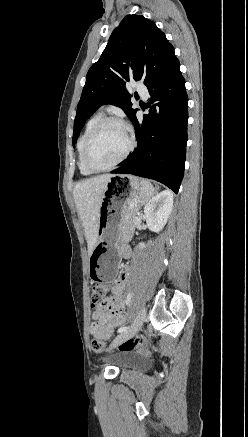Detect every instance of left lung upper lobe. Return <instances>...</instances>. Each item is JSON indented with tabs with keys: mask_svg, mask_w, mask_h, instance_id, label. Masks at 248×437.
<instances>
[{
	"mask_svg": "<svg viewBox=\"0 0 248 437\" xmlns=\"http://www.w3.org/2000/svg\"><path fill=\"white\" fill-rule=\"evenodd\" d=\"M175 58L173 46L153 21L139 15L125 16L87 73L74 121L73 145L85 121L100 105H116L132 121L137 110L132 108L126 82L142 79L148 86Z\"/></svg>",
	"mask_w": 248,
	"mask_h": 437,
	"instance_id": "5c2ea615",
	"label": "left lung upper lobe"
}]
</instances>
